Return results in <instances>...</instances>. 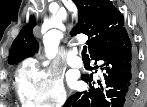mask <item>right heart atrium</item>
I'll list each match as a JSON object with an SVG mask.
<instances>
[{"mask_svg": "<svg viewBox=\"0 0 147 107\" xmlns=\"http://www.w3.org/2000/svg\"><path fill=\"white\" fill-rule=\"evenodd\" d=\"M16 89L24 106L57 107L67 99L61 74L52 68H41L35 62L19 70Z\"/></svg>", "mask_w": 147, "mask_h": 107, "instance_id": "obj_1", "label": "right heart atrium"}]
</instances>
